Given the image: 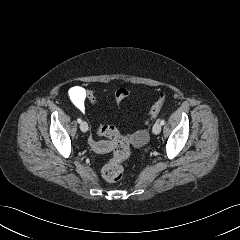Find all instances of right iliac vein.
<instances>
[{
	"label": "right iliac vein",
	"instance_id": "obj_1",
	"mask_svg": "<svg viewBox=\"0 0 240 240\" xmlns=\"http://www.w3.org/2000/svg\"><path fill=\"white\" fill-rule=\"evenodd\" d=\"M80 129H81L82 132H87L88 131V124L86 122H81Z\"/></svg>",
	"mask_w": 240,
	"mask_h": 240
}]
</instances>
